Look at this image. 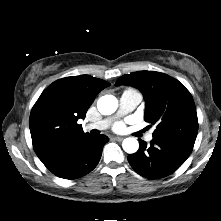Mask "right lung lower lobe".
I'll return each instance as SVG.
<instances>
[{
	"instance_id": "right-lung-lower-lobe-1",
	"label": "right lung lower lobe",
	"mask_w": 221,
	"mask_h": 221,
	"mask_svg": "<svg viewBox=\"0 0 221 221\" xmlns=\"http://www.w3.org/2000/svg\"><path fill=\"white\" fill-rule=\"evenodd\" d=\"M108 141L105 135H87L70 145L60 158L46 167L60 178L82 177L97 166L103 147Z\"/></svg>"
}]
</instances>
